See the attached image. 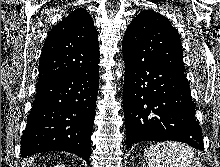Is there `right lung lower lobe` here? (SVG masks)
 Wrapping results in <instances>:
<instances>
[{"label":"right lung lower lobe","mask_w":220,"mask_h":167,"mask_svg":"<svg viewBox=\"0 0 220 167\" xmlns=\"http://www.w3.org/2000/svg\"><path fill=\"white\" fill-rule=\"evenodd\" d=\"M99 66L38 84L21 139V156L66 151L89 164Z\"/></svg>","instance_id":"98d812e1"}]
</instances>
